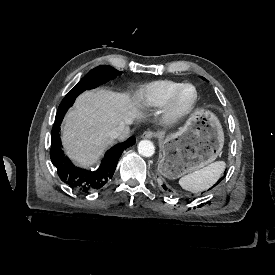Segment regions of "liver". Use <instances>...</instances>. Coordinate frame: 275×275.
I'll return each mask as SVG.
<instances>
[{"mask_svg":"<svg viewBox=\"0 0 275 275\" xmlns=\"http://www.w3.org/2000/svg\"><path fill=\"white\" fill-rule=\"evenodd\" d=\"M138 94L118 93L105 89L86 91L76 99L64 119L62 144L73 162L81 167L95 164L103 151L114 143L106 134L119 126L123 141L129 136L128 125L144 118Z\"/></svg>","mask_w":275,"mask_h":275,"instance_id":"1","label":"liver"}]
</instances>
